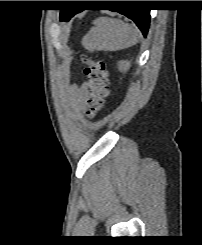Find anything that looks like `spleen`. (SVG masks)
I'll list each match as a JSON object with an SVG mask.
<instances>
[{
	"instance_id": "spleen-1",
	"label": "spleen",
	"mask_w": 202,
	"mask_h": 245,
	"mask_svg": "<svg viewBox=\"0 0 202 245\" xmlns=\"http://www.w3.org/2000/svg\"><path fill=\"white\" fill-rule=\"evenodd\" d=\"M83 38V46L90 50L118 51L129 48L140 39L137 28L119 19L100 17Z\"/></svg>"
}]
</instances>
